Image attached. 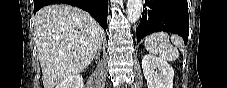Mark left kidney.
<instances>
[{
  "instance_id": "5707ae66",
  "label": "left kidney",
  "mask_w": 227,
  "mask_h": 88,
  "mask_svg": "<svg viewBox=\"0 0 227 88\" xmlns=\"http://www.w3.org/2000/svg\"><path fill=\"white\" fill-rule=\"evenodd\" d=\"M142 69L148 88H173V68L163 59L145 55Z\"/></svg>"
}]
</instances>
